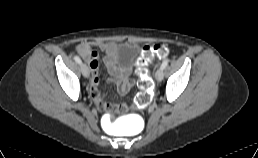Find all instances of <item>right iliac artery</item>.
Returning <instances> with one entry per match:
<instances>
[{
    "label": "right iliac artery",
    "instance_id": "right-iliac-artery-1",
    "mask_svg": "<svg viewBox=\"0 0 258 158\" xmlns=\"http://www.w3.org/2000/svg\"><path fill=\"white\" fill-rule=\"evenodd\" d=\"M74 60H75L78 64H82L81 59H80L77 55L74 56Z\"/></svg>",
    "mask_w": 258,
    "mask_h": 158
}]
</instances>
